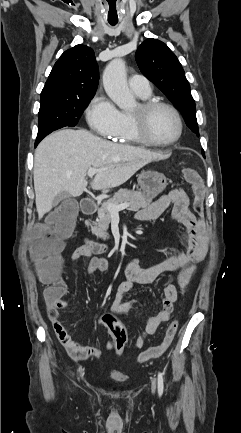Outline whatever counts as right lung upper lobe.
<instances>
[{"label":"right lung upper lobe","mask_w":241,"mask_h":433,"mask_svg":"<svg viewBox=\"0 0 241 433\" xmlns=\"http://www.w3.org/2000/svg\"><path fill=\"white\" fill-rule=\"evenodd\" d=\"M98 79L94 51L88 46L76 45L65 51L55 63L41 92L40 101L94 97Z\"/></svg>","instance_id":"right-lung-upper-lobe-1"}]
</instances>
